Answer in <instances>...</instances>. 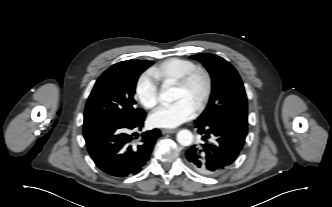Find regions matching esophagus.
I'll return each instance as SVG.
<instances>
[{
  "instance_id": "1",
  "label": "esophagus",
  "mask_w": 332,
  "mask_h": 207,
  "mask_svg": "<svg viewBox=\"0 0 332 207\" xmlns=\"http://www.w3.org/2000/svg\"><path fill=\"white\" fill-rule=\"evenodd\" d=\"M177 130L176 129H162L161 132L162 134H171L175 133Z\"/></svg>"
}]
</instances>
